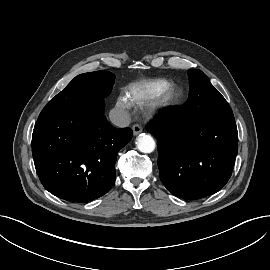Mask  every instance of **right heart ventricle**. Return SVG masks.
Returning a JSON list of instances; mask_svg holds the SVG:
<instances>
[{"label": "right heart ventricle", "instance_id": "e07e8e85", "mask_svg": "<svg viewBox=\"0 0 270 270\" xmlns=\"http://www.w3.org/2000/svg\"><path fill=\"white\" fill-rule=\"evenodd\" d=\"M171 83L165 79L142 80L130 84L126 89V99L136 107H143L156 99Z\"/></svg>", "mask_w": 270, "mask_h": 270}]
</instances>
